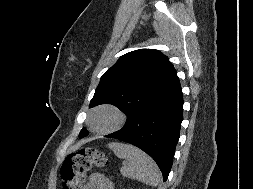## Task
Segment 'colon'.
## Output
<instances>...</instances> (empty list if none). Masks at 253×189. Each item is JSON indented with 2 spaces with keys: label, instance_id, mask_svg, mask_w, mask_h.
<instances>
[{
  "label": "colon",
  "instance_id": "1",
  "mask_svg": "<svg viewBox=\"0 0 253 189\" xmlns=\"http://www.w3.org/2000/svg\"><path fill=\"white\" fill-rule=\"evenodd\" d=\"M108 166V159L94 148H83L68 154L61 167L63 189H84L87 173L93 167Z\"/></svg>",
  "mask_w": 253,
  "mask_h": 189
}]
</instances>
